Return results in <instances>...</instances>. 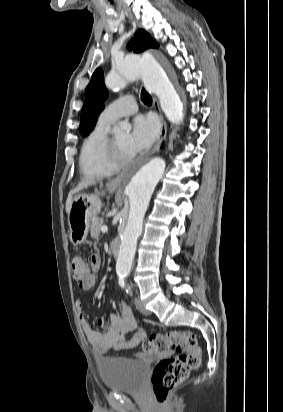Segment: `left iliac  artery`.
Segmentation results:
<instances>
[{
  "mask_svg": "<svg viewBox=\"0 0 283 412\" xmlns=\"http://www.w3.org/2000/svg\"><path fill=\"white\" fill-rule=\"evenodd\" d=\"M125 276H126V275H124V274H120V275H119V284H120L121 287H124V286H125V284H124V278H125ZM127 291H128V290H127Z\"/></svg>",
  "mask_w": 283,
  "mask_h": 412,
  "instance_id": "left-iliac-artery-1",
  "label": "left iliac artery"
}]
</instances>
